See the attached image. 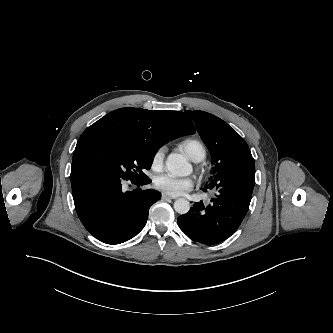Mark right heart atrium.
<instances>
[{
	"label": "right heart atrium",
	"mask_w": 333,
	"mask_h": 333,
	"mask_svg": "<svg viewBox=\"0 0 333 333\" xmlns=\"http://www.w3.org/2000/svg\"><path fill=\"white\" fill-rule=\"evenodd\" d=\"M164 153L165 148L161 147L153 154L151 159V167L153 170L159 171L162 169L164 162Z\"/></svg>",
	"instance_id": "obj_1"
}]
</instances>
